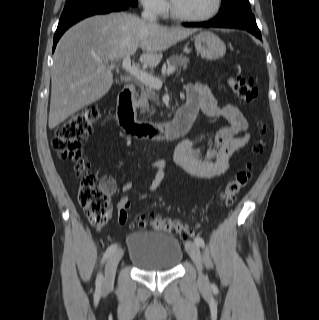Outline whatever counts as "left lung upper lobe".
Segmentation results:
<instances>
[{
	"label": "left lung upper lobe",
	"instance_id": "left-lung-upper-lobe-1",
	"mask_svg": "<svg viewBox=\"0 0 319 320\" xmlns=\"http://www.w3.org/2000/svg\"><path fill=\"white\" fill-rule=\"evenodd\" d=\"M232 10H251L248 0H222L218 14H225Z\"/></svg>",
	"mask_w": 319,
	"mask_h": 320
}]
</instances>
